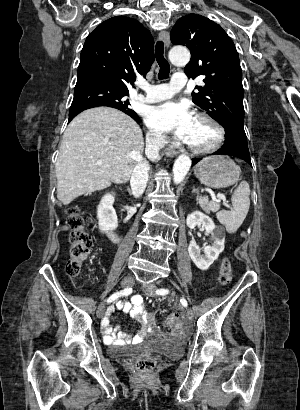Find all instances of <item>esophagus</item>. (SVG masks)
I'll return each mask as SVG.
<instances>
[{
	"mask_svg": "<svg viewBox=\"0 0 300 410\" xmlns=\"http://www.w3.org/2000/svg\"><path fill=\"white\" fill-rule=\"evenodd\" d=\"M159 39L165 44V46L168 48L170 44V38H169V33L165 30L159 32ZM178 154L177 151L171 150L168 152L169 157H174Z\"/></svg>",
	"mask_w": 300,
	"mask_h": 410,
	"instance_id": "esophagus-1",
	"label": "esophagus"
}]
</instances>
